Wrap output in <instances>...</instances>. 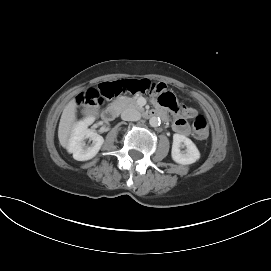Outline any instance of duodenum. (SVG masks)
Returning a JSON list of instances; mask_svg holds the SVG:
<instances>
[{
	"label": "duodenum",
	"instance_id": "1",
	"mask_svg": "<svg viewBox=\"0 0 271 271\" xmlns=\"http://www.w3.org/2000/svg\"><path fill=\"white\" fill-rule=\"evenodd\" d=\"M118 114V108L116 106H109L105 108L102 113H101V118L105 122H110L116 118ZM144 117L150 118V117H161L162 119H166V114L164 113L163 110H150V111H145L143 113Z\"/></svg>",
	"mask_w": 271,
	"mask_h": 271
}]
</instances>
